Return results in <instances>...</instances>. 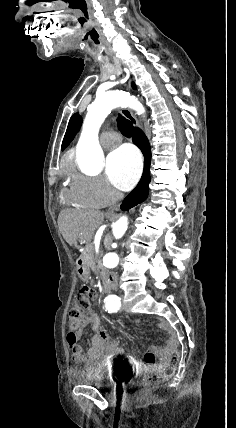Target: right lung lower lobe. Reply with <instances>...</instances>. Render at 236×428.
<instances>
[{
  "label": "right lung lower lobe",
  "mask_w": 236,
  "mask_h": 428,
  "mask_svg": "<svg viewBox=\"0 0 236 428\" xmlns=\"http://www.w3.org/2000/svg\"><path fill=\"white\" fill-rule=\"evenodd\" d=\"M133 142L141 149L144 155V171L138 185L123 201V204L120 207L123 211H127L128 209L136 206L137 204L144 202L147 199L149 192L148 185L150 182L149 169L151 160L150 145L148 139L143 134V132L137 128L135 129Z\"/></svg>",
  "instance_id": "obj_1"
}]
</instances>
